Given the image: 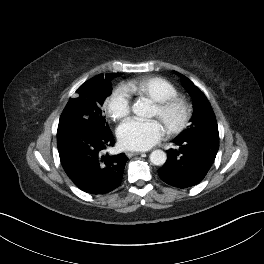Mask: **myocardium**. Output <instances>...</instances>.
Wrapping results in <instances>:
<instances>
[{"instance_id":"1","label":"myocardium","mask_w":264,"mask_h":264,"mask_svg":"<svg viewBox=\"0 0 264 264\" xmlns=\"http://www.w3.org/2000/svg\"><path fill=\"white\" fill-rule=\"evenodd\" d=\"M157 116L164 123L168 134L176 135L188 125L192 108L183 96L175 95L164 101L156 102Z\"/></svg>"}]
</instances>
